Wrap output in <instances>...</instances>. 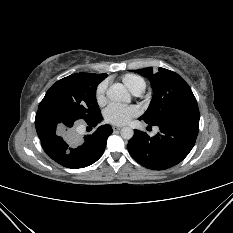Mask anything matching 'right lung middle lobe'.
<instances>
[{
	"mask_svg": "<svg viewBox=\"0 0 233 233\" xmlns=\"http://www.w3.org/2000/svg\"><path fill=\"white\" fill-rule=\"evenodd\" d=\"M98 84L90 73L65 77L50 87L38 110L49 109L69 120L88 121L101 114L95 95Z\"/></svg>",
	"mask_w": 233,
	"mask_h": 233,
	"instance_id": "1",
	"label": "right lung middle lobe"
}]
</instances>
